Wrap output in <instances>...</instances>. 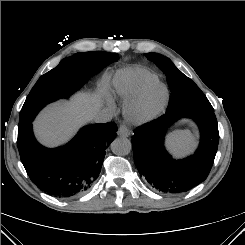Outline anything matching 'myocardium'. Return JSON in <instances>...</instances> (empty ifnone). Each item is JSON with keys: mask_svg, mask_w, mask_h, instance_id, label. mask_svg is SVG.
<instances>
[{"mask_svg": "<svg viewBox=\"0 0 245 245\" xmlns=\"http://www.w3.org/2000/svg\"><path fill=\"white\" fill-rule=\"evenodd\" d=\"M160 87L163 91L160 102L152 109L144 110V105L148 92L153 87ZM169 100V90L167 86L159 80L147 83L138 95L127 102L124 107L126 118L137 125H144L157 119L165 110Z\"/></svg>", "mask_w": 245, "mask_h": 245, "instance_id": "1", "label": "myocardium"}]
</instances>
